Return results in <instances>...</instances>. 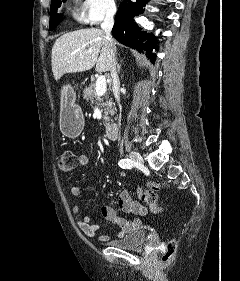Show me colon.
Listing matches in <instances>:
<instances>
[{"instance_id":"obj_1","label":"colon","mask_w":240,"mask_h":281,"mask_svg":"<svg viewBox=\"0 0 240 281\" xmlns=\"http://www.w3.org/2000/svg\"><path fill=\"white\" fill-rule=\"evenodd\" d=\"M78 165V157L71 150H64L60 153L57 160V167L59 170L68 172L75 169ZM165 184L155 181L147 183L146 187L139 190V197L141 201L145 202L153 214H159L162 212V207L157 203V193L164 187ZM176 241L170 240L166 243L162 249V260L168 261L176 251Z\"/></svg>"}]
</instances>
